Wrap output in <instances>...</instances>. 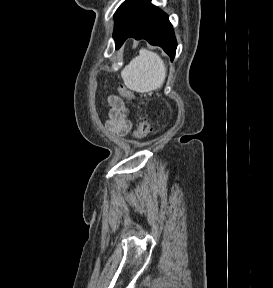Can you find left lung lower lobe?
Instances as JSON below:
<instances>
[{"label": "left lung lower lobe", "mask_w": 273, "mask_h": 288, "mask_svg": "<svg viewBox=\"0 0 273 288\" xmlns=\"http://www.w3.org/2000/svg\"><path fill=\"white\" fill-rule=\"evenodd\" d=\"M113 37L116 49L129 37L145 39L152 45L162 47L171 61L174 59L177 43L172 25L168 15L151 4V0H131Z\"/></svg>", "instance_id": "obj_1"}]
</instances>
